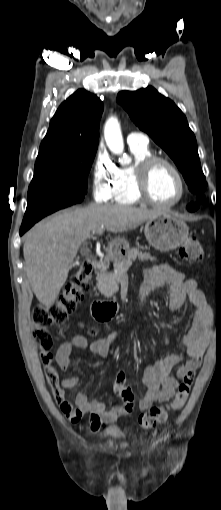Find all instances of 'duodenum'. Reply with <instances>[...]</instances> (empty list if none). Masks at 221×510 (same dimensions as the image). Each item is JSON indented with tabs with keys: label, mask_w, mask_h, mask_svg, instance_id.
I'll return each mask as SVG.
<instances>
[{
	"label": "duodenum",
	"mask_w": 221,
	"mask_h": 510,
	"mask_svg": "<svg viewBox=\"0 0 221 510\" xmlns=\"http://www.w3.org/2000/svg\"><path fill=\"white\" fill-rule=\"evenodd\" d=\"M106 270V263L104 260L97 258L94 262V271L97 275H101ZM116 303L105 302L102 300H94L91 303L90 309L93 317L97 320H106L110 318L116 311Z\"/></svg>",
	"instance_id": "410a0bca"
}]
</instances>
